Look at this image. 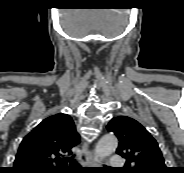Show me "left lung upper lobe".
Wrapping results in <instances>:
<instances>
[{
    "label": "left lung upper lobe",
    "instance_id": "obj_1",
    "mask_svg": "<svg viewBox=\"0 0 184 173\" xmlns=\"http://www.w3.org/2000/svg\"><path fill=\"white\" fill-rule=\"evenodd\" d=\"M107 129L119 140L116 153L127 160L124 173L168 172L156 140L136 120L119 116L108 123Z\"/></svg>",
    "mask_w": 184,
    "mask_h": 173
}]
</instances>
